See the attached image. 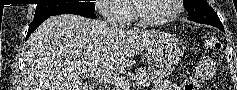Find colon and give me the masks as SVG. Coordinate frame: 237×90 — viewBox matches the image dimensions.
I'll return each instance as SVG.
<instances>
[{"label":"colon","mask_w":237,"mask_h":90,"mask_svg":"<svg viewBox=\"0 0 237 90\" xmlns=\"http://www.w3.org/2000/svg\"><path fill=\"white\" fill-rule=\"evenodd\" d=\"M215 48H216L217 50H219L220 46H219V43H218V42L216 43Z\"/></svg>","instance_id":"colon-1"}]
</instances>
